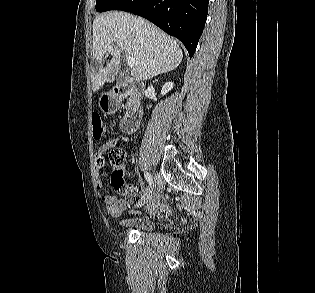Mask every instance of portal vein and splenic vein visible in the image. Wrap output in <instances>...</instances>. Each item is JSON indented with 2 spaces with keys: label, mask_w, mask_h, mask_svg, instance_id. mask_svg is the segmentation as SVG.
Instances as JSON below:
<instances>
[{
  "label": "portal vein and splenic vein",
  "mask_w": 315,
  "mask_h": 293,
  "mask_svg": "<svg viewBox=\"0 0 315 293\" xmlns=\"http://www.w3.org/2000/svg\"><path fill=\"white\" fill-rule=\"evenodd\" d=\"M108 50H113V46H109ZM127 63H128V66L131 68L135 66V61L131 57H127Z\"/></svg>",
  "instance_id": "1"
}]
</instances>
